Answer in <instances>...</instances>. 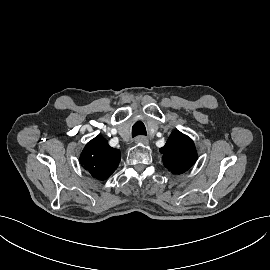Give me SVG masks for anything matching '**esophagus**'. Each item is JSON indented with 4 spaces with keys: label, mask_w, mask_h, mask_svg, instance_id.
<instances>
[{
    "label": "esophagus",
    "mask_w": 270,
    "mask_h": 270,
    "mask_svg": "<svg viewBox=\"0 0 270 270\" xmlns=\"http://www.w3.org/2000/svg\"><path fill=\"white\" fill-rule=\"evenodd\" d=\"M135 143L147 145L149 141L145 136L140 135L135 138Z\"/></svg>",
    "instance_id": "1"
}]
</instances>
